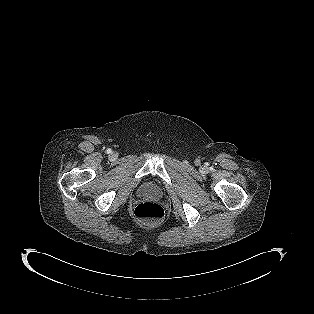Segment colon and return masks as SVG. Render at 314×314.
Here are the masks:
<instances>
[{
    "label": "colon",
    "mask_w": 314,
    "mask_h": 314,
    "mask_svg": "<svg viewBox=\"0 0 314 314\" xmlns=\"http://www.w3.org/2000/svg\"><path fill=\"white\" fill-rule=\"evenodd\" d=\"M134 215L145 222H159L164 218L165 211L158 202L146 200L135 206Z\"/></svg>",
    "instance_id": "1"
}]
</instances>
